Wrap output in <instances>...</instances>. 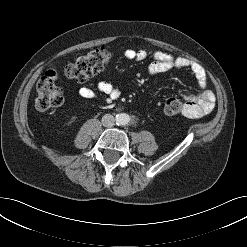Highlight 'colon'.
<instances>
[{
    "instance_id": "colon-1",
    "label": "colon",
    "mask_w": 247,
    "mask_h": 247,
    "mask_svg": "<svg viewBox=\"0 0 247 247\" xmlns=\"http://www.w3.org/2000/svg\"><path fill=\"white\" fill-rule=\"evenodd\" d=\"M110 61V53L106 49H94L78 56L66 66L64 75L76 81H85L102 72ZM63 91L57 84V75L49 71L43 75L36 85V108L45 111L58 107L63 103ZM185 105L176 98L168 99L164 104V112L169 116L180 114Z\"/></svg>"
}]
</instances>
